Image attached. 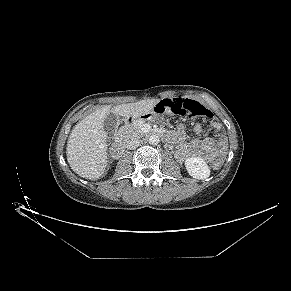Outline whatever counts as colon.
Returning <instances> with one entry per match:
<instances>
[{"label": "colon", "instance_id": "1", "mask_svg": "<svg viewBox=\"0 0 291 291\" xmlns=\"http://www.w3.org/2000/svg\"><path fill=\"white\" fill-rule=\"evenodd\" d=\"M155 111L159 114L200 117L210 121V123L215 122L214 115L209 109L198 101L191 99H164L156 105ZM219 149L220 152L224 153L227 150V145L224 142H221ZM211 166L214 169H219L222 166V160L217 159L213 161Z\"/></svg>", "mask_w": 291, "mask_h": 291}]
</instances>
